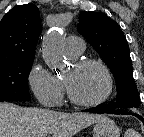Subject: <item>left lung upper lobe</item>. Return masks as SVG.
<instances>
[{
	"label": "left lung upper lobe",
	"mask_w": 144,
	"mask_h": 137,
	"mask_svg": "<svg viewBox=\"0 0 144 137\" xmlns=\"http://www.w3.org/2000/svg\"><path fill=\"white\" fill-rule=\"evenodd\" d=\"M78 32L101 56L114 75L117 102L110 108H138L139 95L132 74L129 46L120 26L101 12H82Z\"/></svg>",
	"instance_id": "5c2ea615"
}]
</instances>
